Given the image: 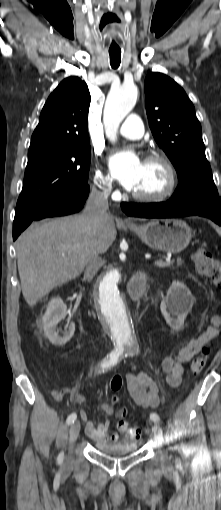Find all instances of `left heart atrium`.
Here are the masks:
<instances>
[{
    "instance_id": "obj_1",
    "label": "left heart atrium",
    "mask_w": 221,
    "mask_h": 510,
    "mask_svg": "<svg viewBox=\"0 0 221 510\" xmlns=\"http://www.w3.org/2000/svg\"><path fill=\"white\" fill-rule=\"evenodd\" d=\"M110 167L120 184L134 191L142 173L143 162L132 150L116 152L109 157Z\"/></svg>"
}]
</instances>
